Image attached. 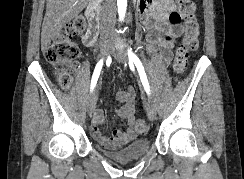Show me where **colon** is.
Returning <instances> with one entry per match:
<instances>
[{"mask_svg":"<svg viewBox=\"0 0 244 179\" xmlns=\"http://www.w3.org/2000/svg\"><path fill=\"white\" fill-rule=\"evenodd\" d=\"M177 2L178 11H175V14L181 17L185 33L173 59L172 73L175 77H179L185 72L189 63V53L195 51L199 45V26L195 18L194 2L191 0H177ZM84 28L85 22L82 19L69 22L45 50V60L54 67L55 75L64 88L71 85V78L64 66L74 62L79 56V48L72 41V37L81 33ZM135 126L140 133H144L148 129L142 120H138Z\"/></svg>","mask_w":244,"mask_h":179,"instance_id":"colon-1","label":"colon"}]
</instances>
